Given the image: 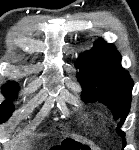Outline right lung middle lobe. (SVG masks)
<instances>
[{
	"mask_svg": "<svg viewBox=\"0 0 139 150\" xmlns=\"http://www.w3.org/2000/svg\"><path fill=\"white\" fill-rule=\"evenodd\" d=\"M19 86L16 82L10 81L8 84L4 85L2 88V92L7 98H15ZM14 111V106L10 100L4 101L0 105V123L5 122Z\"/></svg>",
	"mask_w": 139,
	"mask_h": 150,
	"instance_id": "1",
	"label": "right lung middle lobe"
}]
</instances>
